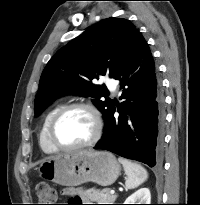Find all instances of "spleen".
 I'll use <instances>...</instances> for the list:
<instances>
[{"instance_id": "spleen-1", "label": "spleen", "mask_w": 200, "mask_h": 205, "mask_svg": "<svg viewBox=\"0 0 200 205\" xmlns=\"http://www.w3.org/2000/svg\"><path fill=\"white\" fill-rule=\"evenodd\" d=\"M118 160L123 165L127 176L125 181L126 188L134 189L147 180L148 173L143 166L124 158H119Z\"/></svg>"}]
</instances>
